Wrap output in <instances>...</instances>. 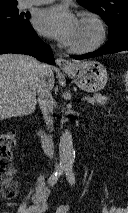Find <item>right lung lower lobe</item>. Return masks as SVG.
I'll return each instance as SVG.
<instances>
[{
    "label": "right lung lower lobe",
    "mask_w": 128,
    "mask_h": 213,
    "mask_svg": "<svg viewBox=\"0 0 128 213\" xmlns=\"http://www.w3.org/2000/svg\"><path fill=\"white\" fill-rule=\"evenodd\" d=\"M5 53L31 55L54 63L51 48L37 36L30 22L14 27L0 26V54Z\"/></svg>",
    "instance_id": "1"
}]
</instances>
